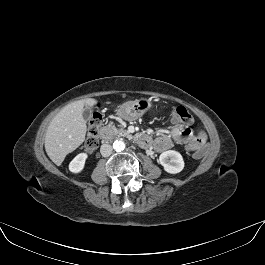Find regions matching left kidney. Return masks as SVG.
Here are the masks:
<instances>
[{
  "instance_id": "1",
  "label": "left kidney",
  "mask_w": 265,
  "mask_h": 265,
  "mask_svg": "<svg viewBox=\"0 0 265 265\" xmlns=\"http://www.w3.org/2000/svg\"><path fill=\"white\" fill-rule=\"evenodd\" d=\"M160 164L170 174H176L183 170L184 160L182 155L174 150L163 152L159 157Z\"/></svg>"
}]
</instances>
